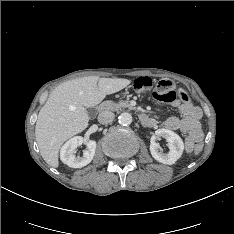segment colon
Masks as SVG:
<instances>
[{
  "label": "colon",
  "instance_id": "obj_1",
  "mask_svg": "<svg viewBox=\"0 0 234 234\" xmlns=\"http://www.w3.org/2000/svg\"><path fill=\"white\" fill-rule=\"evenodd\" d=\"M153 85L152 80L149 77H140L135 80L134 88L137 91L143 92L149 90ZM153 96L157 100L171 101L179 97L183 102H188V95L183 89H177L171 80L165 79L159 81L153 91ZM195 153L201 151L202 146L200 144H195L190 146Z\"/></svg>",
  "mask_w": 234,
  "mask_h": 234
}]
</instances>
